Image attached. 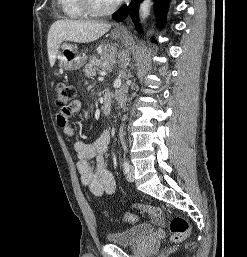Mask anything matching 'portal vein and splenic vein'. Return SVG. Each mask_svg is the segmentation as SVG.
<instances>
[{
	"mask_svg": "<svg viewBox=\"0 0 247 257\" xmlns=\"http://www.w3.org/2000/svg\"><path fill=\"white\" fill-rule=\"evenodd\" d=\"M100 75H101V76H105V75H106V72H101Z\"/></svg>",
	"mask_w": 247,
	"mask_h": 257,
	"instance_id": "18ae733b",
	"label": "portal vein and splenic vein"
}]
</instances>
